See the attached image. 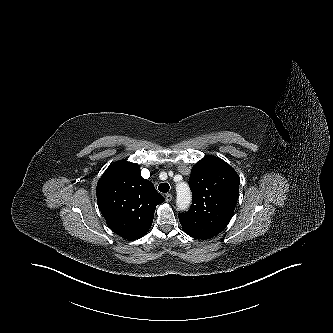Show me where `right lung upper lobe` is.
Returning a JSON list of instances; mask_svg holds the SVG:
<instances>
[{
    "label": "right lung upper lobe",
    "mask_w": 333,
    "mask_h": 333,
    "mask_svg": "<svg viewBox=\"0 0 333 333\" xmlns=\"http://www.w3.org/2000/svg\"><path fill=\"white\" fill-rule=\"evenodd\" d=\"M96 194L109 228L127 240L140 238L149 230L156 206L165 200L152 182L142 178L138 164L125 161L104 172Z\"/></svg>",
    "instance_id": "obj_1"
}]
</instances>
